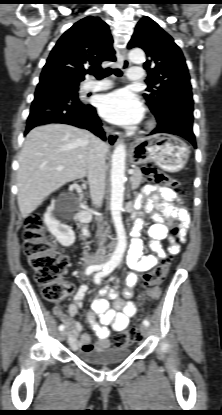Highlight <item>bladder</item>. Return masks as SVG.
Listing matches in <instances>:
<instances>
[{
	"label": "bladder",
	"instance_id": "bladder-1",
	"mask_svg": "<svg viewBox=\"0 0 222 415\" xmlns=\"http://www.w3.org/2000/svg\"><path fill=\"white\" fill-rule=\"evenodd\" d=\"M131 355L130 348L117 347L101 351H77L75 357L87 364L95 366L113 365L123 362Z\"/></svg>",
	"mask_w": 222,
	"mask_h": 415
}]
</instances>
